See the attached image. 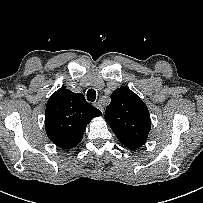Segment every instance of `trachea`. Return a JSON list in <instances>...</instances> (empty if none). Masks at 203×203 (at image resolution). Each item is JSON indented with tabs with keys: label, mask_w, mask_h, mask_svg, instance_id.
<instances>
[{
	"label": "trachea",
	"mask_w": 203,
	"mask_h": 203,
	"mask_svg": "<svg viewBox=\"0 0 203 203\" xmlns=\"http://www.w3.org/2000/svg\"><path fill=\"white\" fill-rule=\"evenodd\" d=\"M96 99V91L94 89H89L87 91V100L90 102H94Z\"/></svg>",
	"instance_id": "obj_1"
}]
</instances>
